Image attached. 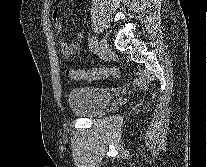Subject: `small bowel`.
I'll return each instance as SVG.
<instances>
[{"instance_id": "c3829d8e", "label": "small bowel", "mask_w": 207, "mask_h": 167, "mask_svg": "<svg viewBox=\"0 0 207 167\" xmlns=\"http://www.w3.org/2000/svg\"><path fill=\"white\" fill-rule=\"evenodd\" d=\"M59 16V11L56 8L53 12V19H54V28L58 34H61L63 32V26L58 20ZM84 37L83 31H79L76 34V40L77 42H81ZM73 42V43H68L66 40L61 39L60 40V47H61V52L64 58H69L70 56L74 55L77 50H78V43Z\"/></svg>"}]
</instances>
